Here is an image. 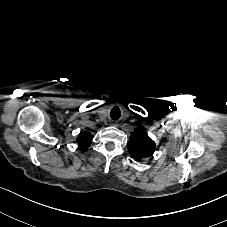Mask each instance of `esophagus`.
I'll return each mask as SVG.
<instances>
[{"instance_id":"esophagus-1","label":"esophagus","mask_w":227,"mask_h":227,"mask_svg":"<svg viewBox=\"0 0 227 227\" xmlns=\"http://www.w3.org/2000/svg\"><path fill=\"white\" fill-rule=\"evenodd\" d=\"M109 127H110L111 129H116V128L118 127V122H117L116 120H111V121L109 122Z\"/></svg>"}]
</instances>
